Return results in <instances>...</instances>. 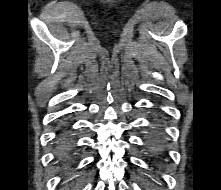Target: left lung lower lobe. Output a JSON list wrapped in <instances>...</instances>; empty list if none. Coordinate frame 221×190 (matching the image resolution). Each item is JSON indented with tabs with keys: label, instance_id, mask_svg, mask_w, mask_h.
<instances>
[{
	"label": "left lung lower lobe",
	"instance_id": "left-lung-lower-lobe-1",
	"mask_svg": "<svg viewBox=\"0 0 221 190\" xmlns=\"http://www.w3.org/2000/svg\"><path fill=\"white\" fill-rule=\"evenodd\" d=\"M152 147H153V151H154L155 153H159V152H160V149H159V146H158L157 143H155Z\"/></svg>",
	"mask_w": 221,
	"mask_h": 190
}]
</instances>
